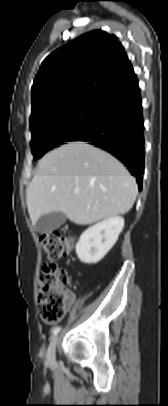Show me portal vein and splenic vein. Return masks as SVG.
Instances as JSON below:
<instances>
[{
    "instance_id": "18ae733b",
    "label": "portal vein and splenic vein",
    "mask_w": 168,
    "mask_h": 406,
    "mask_svg": "<svg viewBox=\"0 0 168 406\" xmlns=\"http://www.w3.org/2000/svg\"><path fill=\"white\" fill-rule=\"evenodd\" d=\"M74 193H75V194H79V193H80V190H79V189H75V190H74Z\"/></svg>"
}]
</instances>
